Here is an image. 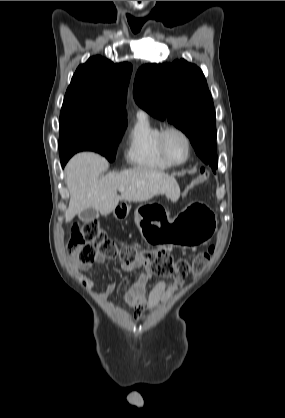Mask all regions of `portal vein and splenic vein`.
I'll list each match as a JSON object with an SVG mask.
<instances>
[{"mask_svg":"<svg viewBox=\"0 0 285 418\" xmlns=\"http://www.w3.org/2000/svg\"><path fill=\"white\" fill-rule=\"evenodd\" d=\"M125 189L123 187L119 188L118 191L119 192H123Z\"/></svg>","mask_w":285,"mask_h":418,"instance_id":"obj_1","label":"portal vein and splenic vein"}]
</instances>
